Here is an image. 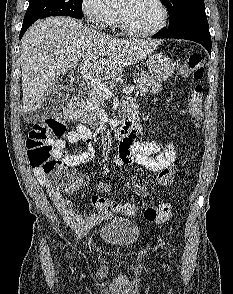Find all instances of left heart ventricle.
<instances>
[{
    "label": "left heart ventricle",
    "instance_id": "b2bd125f",
    "mask_svg": "<svg viewBox=\"0 0 233 294\" xmlns=\"http://www.w3.org/2000/svg\"><path fill=\"white\" fill-rule=\"evenodd\" d=\"M119 11L125 15L128 24L138 31L153 29L162 17L160 8L153 0H123Z\"/></svg>",
    "mask_w": 233,
    "mask_h": 294
}]
</instances>
